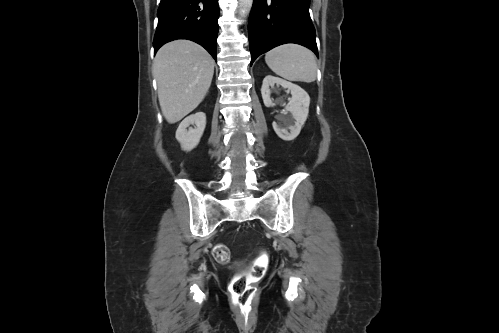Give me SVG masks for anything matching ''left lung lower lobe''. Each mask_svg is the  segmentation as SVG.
<instances>
[{
    "instance_id": "obj_1",
    "label": "left lung lower lobe",
    "mask_w": 499,
    "mask_h": 333,
    "mask_svg": "<svg viewBox=\"0 0 499 333\" xmlns=\"http://www.w3.org/2000/svg\"><path fill=\"white\" fill-rule=\"evenodd\" d=\"M310 0H254L248 22L251 65L272 48L296 43L318 57Z\"/></svg>"
}]
</instances>
